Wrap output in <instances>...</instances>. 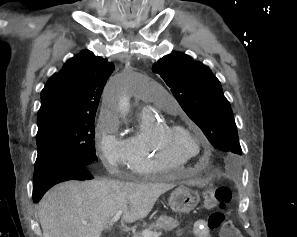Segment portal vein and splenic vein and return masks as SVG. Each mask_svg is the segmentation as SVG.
<instances>
[{
    "label": "portal vein and splenic vein",
    "instance_id": "1",
    "mask_svg": "<svg viewBox=\"0 0 297 237\" xmlns=\"http://www.w3.org/2000/svg\"><path fill=\"white\" fill-rule=\"evenodd\" d=\"M122 213H123V211L122 210H119L115 214V216L110 220V223L112 224V223L116 222L120 218V216L122 215ZM82 223L84 225H87V221H82ZM161 234H162L161 232L152 233V232L147 231V230H144L142 232L143 237H159Z\"/></svg>",
    "mask_w": 297,
    "mask_h": 237
}]
</instances>
